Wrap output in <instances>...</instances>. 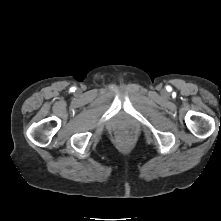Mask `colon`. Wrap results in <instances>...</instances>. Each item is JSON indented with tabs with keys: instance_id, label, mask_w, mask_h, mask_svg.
Masks as SVG:
<instances>
[{
	"instance_id": "5ec220e1",
	"label": "colon",
	"mask_w": 221,
	"mask_h": 221,
	"mask_svg": "<svg viewBox=\"0 0 221 221\" xmlns=\"http://www.w3.org/2000/svg\"><path fill=\"white\" fill-rule=\"evenodd\" d=\"M124 136H125V134H124V133H121V134H120V137H124Z\"/></svg>"
}]
</instances>
